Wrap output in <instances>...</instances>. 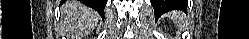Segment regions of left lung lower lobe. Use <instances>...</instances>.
<instances>
[{
    "label": "left lung lower lobe",
    "mask_w": 249,
    "mask_h": 39,
    "mask_svg": "<svg viewBox=\"0 0 249 39\" xmlns=\"http://www.w3.org/2000/svg\"><path fill=\"white\" fill-rule=\"evenodd\" d=\"M176 2H181V4L173 7V4ZM151 4L154 8L156 18H158L161 14L173 9H187V1L185 0H151Z\"/></svg>",
    "instance_id": "left-lung-lower-lobe-1"
}]
</instances>
